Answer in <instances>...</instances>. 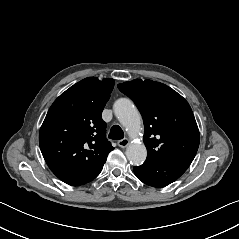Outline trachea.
<instances>
[{"mask_svg":"<svg viewBox=\"0 0 239 239\" xmlns=\"http://www.w3.org/2000/svg\"><path fill=\"white\" fill-rule=\"evenodd\" d=\"M108 137L114 140H121L124 138V132L120 126L114 125L111 127Z\"/></svg>","mask_w":239,"mask_h":239,"instance_id":"3493384b","label":"trachea"}]
</instances>
